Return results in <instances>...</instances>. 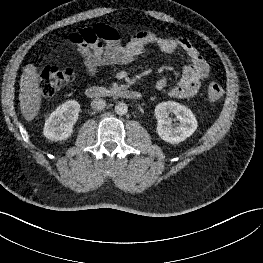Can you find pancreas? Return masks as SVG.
<instances>
[{
	"label": "pancreas",
	"instance_id": "1",
	"mask_svg": "<svg viewBox=\"0 0 263 263\" xmlns=\"http://www.w3.org/2000/svg\"><path fill=\"white\" fill-rule=\"evenodd\" d=\"M117 88V86H114L112 89H116Z\"/></svg>",
	"mask_w": 263,
	"mask_h": 263
}]
</instances>
